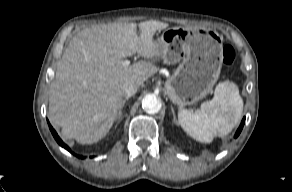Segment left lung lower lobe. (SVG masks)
<instances>
[{
	"mask_svg": "<svg viewBox=\"0 0 292 192\" xmlns=\"http://www.w3.org/2000/svg\"><path fill=\"white\" fill-rule=\"evenodd\" d=\"M244 123H245V118H243V120L241 122V125H240V127L238 128V130H237V132L235 134V137H237L240 134V132H241V130L243 128Z\"/></svg>",
	"mask_w": 292,
	"mask_h": 192,
	"instance_id": "left-lung-lower-lobe-1",
	"label": "left lung lower lobe"
}]
</instances>
